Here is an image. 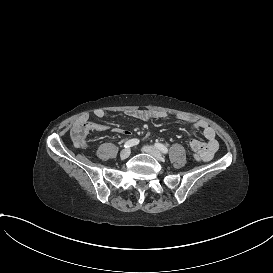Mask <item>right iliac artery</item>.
<instances>
[{
	"mask_svg": "<svg viewBox=\"0 0 273 273\" xmlns=\"http://www.w3.org/2000/svg\"><path fill=\"white\" fill-rule=\"evenodd\" d=\"M138 143H139L138 139H131V140H128L127 142H125L124 147L130 148V147L137 145Z\"/></svg>",
	"mask_w": 273,
	"mask_h": 273,
	"instance_id": "obj_1",
	"label": "right iliac artery"
}]
</instances>
